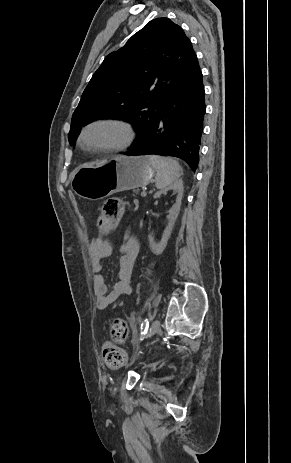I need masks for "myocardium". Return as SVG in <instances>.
Instances as JSON below:
<instances>
[{
    "mask_svg": "<svg viewBox=\"0 0 291 463\" xmlns=\"http://www.w3.org/2000/svg\"><path fill=\"white\" fill-rule=\"evenodd\" d=\"M111 126L117 128L121 137L111 143H90L87 141L89 132L97 127ZM135 139V131L130 122L118 117H103L94 119L85 124L79 133V146L90 152H118L129 148Z\"/></svg>",
    "mask_w": 291,
    "mask_h": 463,
    "instance_id": "f54148a6",
    "label": "myocardium"
}]
</instances>
